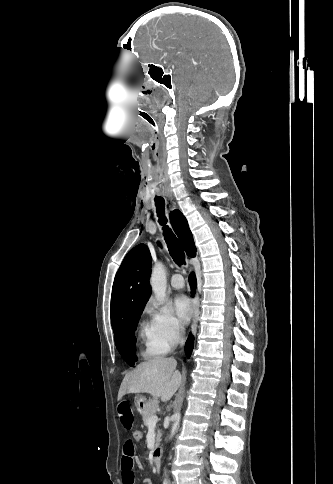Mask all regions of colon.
I'll use <instances>...</instances> for the list:
<instances>
[{
	"label": "colon",
	"instance_id": "5ec220e1",
	"mask_svg": "<svg viewBox=\"0 0 333 484\" xmlns=\"http://www.w3.org/2000/svg\"><path fill=\"white\" fill-rule=\"evenodd\" d=\"M132 435H133V439L135 441H141L143 439V436H144L143 432L140 429H135L133 431Z\"/></svg>",
	"mask_w": 333,
	"mask_h": 484
}]
</instances>
